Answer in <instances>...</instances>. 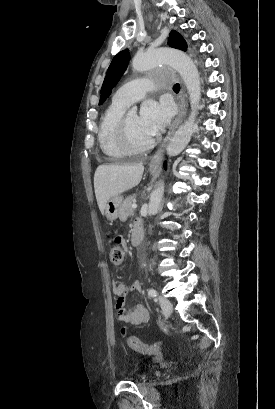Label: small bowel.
Returning <instances> with one entry per match:
<instances>
[{
	"mask_svg": "<svg viewBox=\"0 0 275 409\" xmlns=\"http://www.w3.org/2000/svg\"><path fill=\"white\" fill-rule=\"evenodd\" d=\"M142 289L141 282H135L132 286L126 287L123 284H116L114 292L117 296L118 318L123 322H129L132 324H145L149 321V311L143 304H136L133 307L123 308V304L126 297L131 294H136ZM125 332L128 330L126 327L123 329ZM122 345L125 343L123 340L120 342Z\"/></svg>",
	"mask_w": 275,
	"mask_h": 409,
	"instance_id": "c3829d8e",
	"label": "small bowel"
}]
</instances>
